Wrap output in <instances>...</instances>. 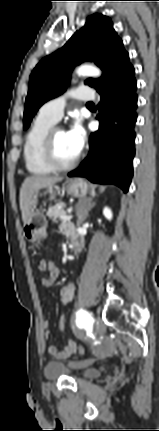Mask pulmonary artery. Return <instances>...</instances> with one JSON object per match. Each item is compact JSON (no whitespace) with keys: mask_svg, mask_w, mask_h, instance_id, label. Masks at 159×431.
Listing matches in <instances>:
<instances>
[{"mask_svg":"<svg viewBox=\"0 0 159 431\" xmlns=\"http://www.w3.org/2000/svg\"><path fill=\"white\" fill-rule=\"evenodd\" d=\"M69 98H74L80 101H92L95 98V92L89 86H77L65 94L46 102L40 108L39 113L56 123L63 116V112Z\"/></svg>","mask_w":159,"mask_h":431,"instance_id":"obj_1","label":"pulmonary artery"}]
</instances>
